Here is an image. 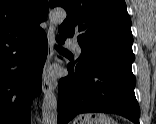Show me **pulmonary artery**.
<instances>
[{"instance_id": "pulmonary-artery-1", "label": "pulmonary artery", "mask_w": 156, "mask_h": 124, "mask_svg": "<svg viewBox=\"0 0 156 124\" xmlns=\"http://www.w3.org/2000/svg\"><path fill=\"white\" fill-rule=\"evenodd\" d=\"M67 45L69 47L72 48V50L77 54V55H80L82 53V49L80 47V45L78 44L77 40L74 39V38H71V39H68L67 40Z\"/></svg>"}]
</instances>
